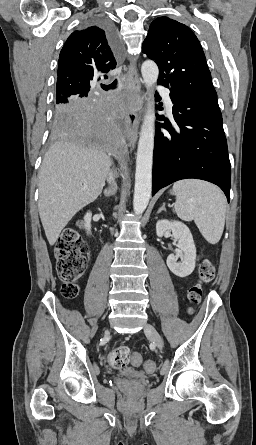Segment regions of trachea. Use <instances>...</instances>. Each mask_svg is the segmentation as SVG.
<instances>
[{"mask_svg": "<svg viewBox=\"0 0 256 445\" xmlns=\"http://www.w3.org/2000/svg\"><path fill=\"white\" fill-rule=\"evenodd\" d=\"M117 87V80H114L111 84L109 85H103L102 88L106 91L111 90V89H115Z\"/></svg>", "mask_w": 256, "mask_h": 445, "instance_id": "trachea-1", "label": "trachea"}]
</instances>
